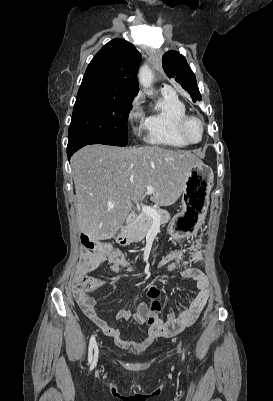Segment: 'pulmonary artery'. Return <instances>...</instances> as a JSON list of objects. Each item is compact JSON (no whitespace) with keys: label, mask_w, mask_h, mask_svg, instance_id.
<instances>
[{"label":"pulmonary artery","mask_w":273,"mask_h":401,"mask_svg":"<svg viewBox=\"0 0 273 401\" xmlns=\"http://www.w3.org/2000/svg\"><path fill=\"white\" fill-rule=\"evenodd\" d=\"M164 91H167V93L172 94V93H174L175 88H174V86L169 85V86H167V88H164Z\"/></svg>","instance_id":"pulmonary-artery-1"}]
</instances>
